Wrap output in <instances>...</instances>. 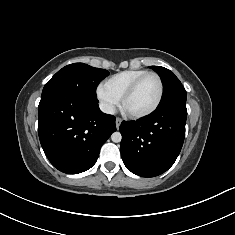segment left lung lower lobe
Returning <instances> with one entry per match:
<instances>
[{"label":"left lung lower lobe","mask_w":235,"mask_h":235,"mask_svg":"<svg viewBox=\"0 0 235 235\" xmlns=\"http://www.w3.org/2000/svg\"><path fill=\"white\" fill-rule=\"evenodd\" d=\"M186 117V103L174 102L137 121H123L121 156L127 169L142 177L167 171L181 151Z\"/></svg>","instance_id":"0a47b994"}]
</instances>
